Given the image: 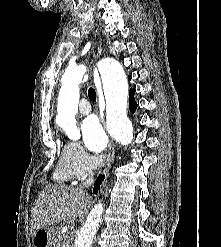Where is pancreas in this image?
Listing matches in <instances>:
<instances>
[{"label":"pancreas","mask_w":221,"mask_h":247,"mask_svg":"<svg viewBox=\"0 0 221 247\" xmlns=\"http://www.w3.org/2000/svg\"><path fill=\"white\" fill-rule=\"evenodd\" d=\"M59 228H55L53 232V246L54 247H69V242L67 237L60 236Z\"/></svg>","instance_id":"cf45deb5"}]
</instances>
